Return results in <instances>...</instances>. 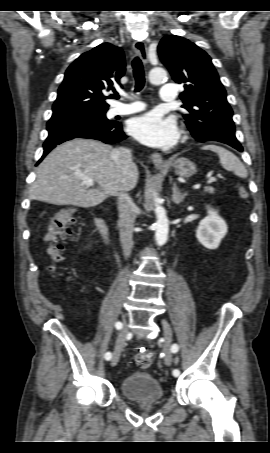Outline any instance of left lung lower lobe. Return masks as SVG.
I'll return each instance as SVG.
<instances>
[{
  "label": "left lung lower lobe",
  "instance_id": "obj_1",
  "mask_svg": "<svg viewBox=\"0 0 270 453\" xmlns=\"http://www.w3.org/2000/svg\"><path fill=\"white\" fill-rule=\"evenodd\" d=\"M223 143H226V144H228V145L234 147L235 149H237V150H239V151H241V152L243 151V148H242V146L240 145V143H239L238 141H232V140H231V141H228V140H227V141H225V142H223Z\"/></svg>",
  "mask_w": 270,
  "mask_h": 453
}]
</instances>
